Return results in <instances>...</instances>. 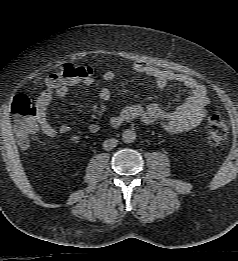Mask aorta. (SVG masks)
I'll return each instance as SVG.
<instances>
[{"mask_svg": "<svg viewBox=\"0 0 238 261\" xmlns=\"http://www.w3.org/2000/svg\"><path fill=\"white\" fill-rule=\"evenodd\" d=\"M135 139L136 133L131 129H127L122 133V140L125 143H132L135 141Z\"/></svg>", "mask_w": 238, "mask_h": 261, "instance_id": "obj_1", "label": "aorta"}]
</instances>
